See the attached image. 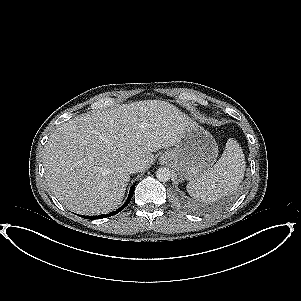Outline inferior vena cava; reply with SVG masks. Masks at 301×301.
Here are the masks:
<instances>
[{
  "mask_svg": "<svg viewBox=\"0 0 301 301\" xmlns=\"http://www.w3.org/2000/svg\"><path fill=\"white\" fill-rule=\"evenodd\" d=\"M127 169L129 173H136V172H140L143 169V166L138 163H131L128 165Z\"/></svg>",
  "mask_w": 301,
  "mask_h": 301,
  "instance_id": "602c4592",
  "label": "inferior vena cava"
}]
</instances>
